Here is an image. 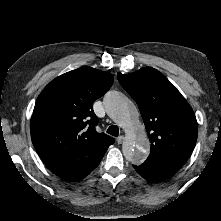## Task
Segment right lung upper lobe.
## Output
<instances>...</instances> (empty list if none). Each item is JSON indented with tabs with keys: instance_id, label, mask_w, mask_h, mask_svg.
Masks as SVG:
<instances>
[{
	"instance_id": "obj_1",
	"label": "right lung upper lobe",
	"mask_w": 221,
	"mask_h": 221,
	"mask_svg": "<svg viewBox=\"0 0 221 221\" xmlns=\"http://www.w3.org/2000/svg\"><path fill=\"white\" fill-rule=\"evenodd\" d=\"M113 75L88 66L51 81L38 96L30 122L31 138L43 162L78 148L114 138L95 130L93 102L113 84Z\"/></svg>"
}]
</instances>
